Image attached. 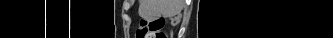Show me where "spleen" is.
<instances>
[{
  "mask_svg": "<svg viewBox=\"0 0 333 38\" xmlns=\"http://www.w3.org/2000/svg\"><path fill=\"white\" fill-rule=\"evenodd\" d=\"M161 13H162V14H167L168 11H167L166 9H162V10H161Z\"/></svg>",
  "mask_w": 333,
  "mask_h": 38,
  "instance_id": "obj_1",
  "label": "spleen"
}]
</instances>
